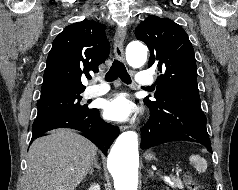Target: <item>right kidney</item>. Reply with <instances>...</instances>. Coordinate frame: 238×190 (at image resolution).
Masks as SVG:
<instances>
[{
    "instance_id": "1",
    "label": "right kidney",
    "mask_w": 238,
    "mask_h": 190,
    "mask_svg": "<svg viewBox=\"0 0 238 190\" xmlns=\"http://www.w3.org/2000/svg\"><path fill=\"white\" fill-rule=\"evenodd\" d=\"M88 190H100V186L99 184H93L90 186Z\"/></svg>"
}]
</instances>
